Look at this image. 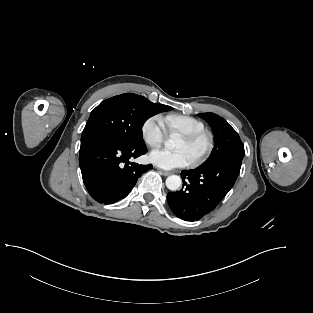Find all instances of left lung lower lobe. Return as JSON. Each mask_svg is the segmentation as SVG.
I'll list each match as a JSON object with an SVG mask.
<instances>
[{
	"mask_svg": "<svg viewBox=\"0 0 313 313\" xmlns=\"http://www.w3.org/2000/svg\"><path fill=\"white\" fill-rule=\"evenodd\" d=\"M241 164L240 159H227L182 171L183 188L167 194L170 209L185 221L201 219L214 210L233 187Z\"/></svg>",
	"mask_w": 313,
	"mask_h": 313,
	"instance_id": "left-lung-lower-lobe-1",
	"label": "left lung lower lobe"
}]
</instances>
